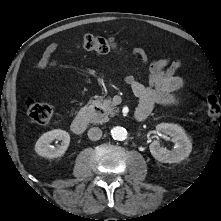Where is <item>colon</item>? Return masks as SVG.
Returning <instances> with one entry per match:
<instances>
[{
    "label": "colon",
    "mask_w": 221,
    "mask_h": 221,
    "mask_svg": "<svg viewBox=\"0 0 221 221\" xmlns=\"http://www.w3.org/2000/svg\"><path fill=\"white\" fill-rule=\"evenodd\" d=\"M80 46L97 52H108L116 46V42L112 37L95 36L91 34L84 35L80 40ZM27 114L29 118L38 124H47L52 118V108L46 104L37 101L33 97L27 98L25 102ZM221 96L218 97L214 93L207 95V115L212 121L220 119Z\"/></svg>",
    "instance_id": "1"
}]
</instances>
